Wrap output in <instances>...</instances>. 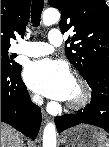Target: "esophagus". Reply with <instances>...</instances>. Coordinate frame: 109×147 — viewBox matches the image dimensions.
I'll return each mask as SVG.
<instances>
[{
  "label": "esophagus",
  "instance_id": "esophagus-1",
  "mask_svg": "<svg viewBox=\"0 0 109 147\" xmlns=\"http://www.w3.org/2000/svg\"><path fill=\"white\" fill-rule=\"evenodd\" d=\"M42 119L44 123H47L50 119L48 114L44 110H42Z\"/></svg>",
  "mask_w": 109,
  "mask_h": 147
}]
</instances>
